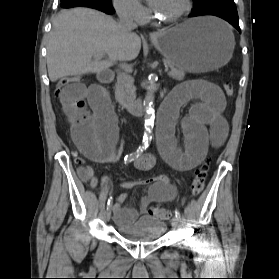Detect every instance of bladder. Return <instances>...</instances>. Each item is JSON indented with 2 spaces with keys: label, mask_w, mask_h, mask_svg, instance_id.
<instances>
[{
  "label": "bladder",
  "mask_w": 279,
  "mask_h": 279,
  "mask_svg": "<svg viewBox=\"0 0 279 279\" xmlns=\"http://www.w3.org/2000/svg\"><path fill=\"white\" fill-rule=\"evenodd\" d=\"M167 230V224L159 219L142 216L130 225H118L119 236L130 242H154Z\"/></svg>",
  "instance_id": "31cf9c89"
}]
</instances>
